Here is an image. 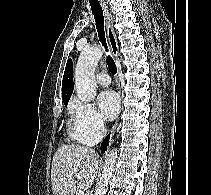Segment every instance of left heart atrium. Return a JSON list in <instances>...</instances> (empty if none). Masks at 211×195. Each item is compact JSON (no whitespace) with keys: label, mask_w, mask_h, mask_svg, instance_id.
Returning a JSON list of instances; mask_svg holds the SVG:
<instances>
[{"label":"left heart atrium","mask_w":211,"mask_h":195,"mask_svg":"<svg viewBox=\"0 0 211 195\" xmlns=\"http://www.w3.org/2000/svg\"><path fill=\"white\" fill-rule=\"evenodd\" d=\"M97 104L102 116L108 120L117 115L120 106L117 94L111 90L101 92L97 98Z\"/></svg>","instance_id":"left-heart-atrium-1"}]
</instances>
